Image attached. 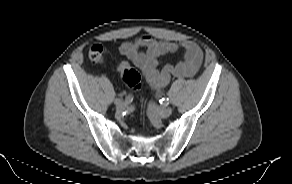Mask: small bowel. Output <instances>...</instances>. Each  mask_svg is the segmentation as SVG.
Wrapping results in <instances>:
<instances>
[{"label":"small bowel","instance_id":"obj_1","mask_svg":"<svg viewBox=\"0 0 292 184\" xmlns=\"http://www.w3.org/2000/svg\"><path fill=\"white\" fill-rule=\"evenodd\" d=\"M179 48L184 51L183 59L176 64H167L157 69L159 57L176 52ZM121 55L139 68L147 81L155 88L166 86L172 77L182 78L194 76L202 63L203 53L200 47L192 41L177 44L169 41H157L150 36H141L133 41H125L119 47ZM128 65L123 61L119 69Z\"/></svg>","mask_w":292,"mask_h":184}]
</instances>
